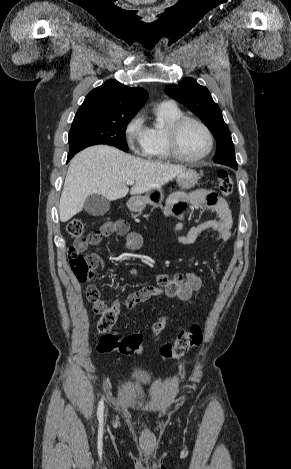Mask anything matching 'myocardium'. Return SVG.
<instances>
[{"mask_svg": "<svg viewBox=\"0 0 291 469\" xmlns=\"http://www.w3.org/2000/svg\"><path fill=\"white\" fill-rule=\"evenodd\" d=\"M193 122L200 126L203 131L205 132L208 140V145L206 150L198 157L189 158L184 156L180 149H179V134L181 129L186 123ZM166 141L168 150L172 158L185 162V163H198L206 159L213 150L214 147V136L210 128L200 119L193 117V116H181L180 118L176 119L172 122L166 131Z\"/></svg>", "mask_w": 291, "mask_h": 469, "instance_id": "1", "label": "myocardium"}]
</instances>
